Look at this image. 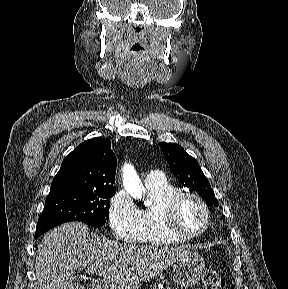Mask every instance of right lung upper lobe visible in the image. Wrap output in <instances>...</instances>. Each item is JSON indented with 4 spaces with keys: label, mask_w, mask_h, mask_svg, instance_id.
<instances>
[{
    "label": "right lung upper lobe",
    "mask_w": 288,
    "mask_h": 289,
    "mask_svg": "<svg viewBox=\"0 0 288 289\" xmlns=\"http://www.w3.org/2000/svg\"><path fill=\"white\" fill-rule=\"evenodd\" d=\"M116 162L108 139L93 138L85 141L64 158L60 170L51 183L50 191L116 189L113 186Z\"/></svg>",
    "instance_id": "1"
}]
</instances>
